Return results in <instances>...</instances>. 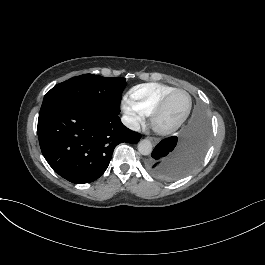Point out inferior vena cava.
I'll use <instances>...</instances> for the list:
<instances>
[{
	"label": "inferior vena cava",
	"instance_id": "1",
	"mask_svg": "<svg viewBox=\"0 0 265 265\" xmlns=\"http://www.w3.org/2000/svg\"><path fill=\"white\" fill-rule=\"evenodd\" d=\"M122 123L132 131L140 130V124L137 121H135L131 116L127 115L123 116Z\"/></svg>",
	"mask_w": 265,
	"mask_h": 265
}]
</instances>
